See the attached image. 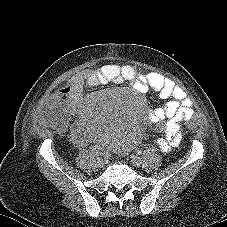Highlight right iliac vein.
<instances>
[{
    "label": "right iliac vein",
    "instance_id": "right-iliac-vein-1",
    "mask_svg": "<svg viewBox=\"0 0 227 227\" xmlns=\"http://www.w3.org/2000/svg\"><path fill=\"white\" fill-rule=\"evenodd\" d=\"M96 164L98 167L102 168L105 165V160L103 158H97Z\"/></svg>",
    "mask_w": 227,
    "mask_h": 227
}]
</instances>
